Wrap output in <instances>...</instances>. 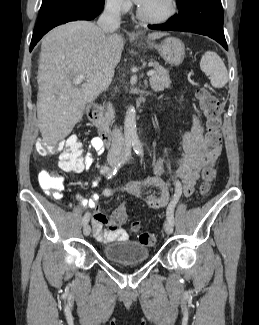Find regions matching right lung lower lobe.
Returning <instances> with one entry per match:
<instances>
[{
	"label": "right lung lower lobe",
	"mask_w": 259,
	"mask_h": 325,
	"mask_svg": "<svg viewBox=\"0 0 259 325\" xmlns=\"http://www.w3.org/2000/svg\"><path fill=\"white\" fill-rule=\"evenodd\" d=\"M104 0H70L56 3L39 13L38 22L34 28L30 51L37 42L52 28L75 20H92L100 14Z\"/></svg>",
	"instance_id": "obj_1"
}]
</instances>
